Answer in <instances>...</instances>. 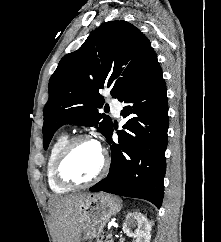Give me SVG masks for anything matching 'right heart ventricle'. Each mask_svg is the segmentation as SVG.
<instances>
[{
  "mask_svg": "<svg viewBox=\"0 0 221 242\" xmlns=\"http://www.w3.org/2000/svg\"><path fill=\"white\" fill-rule=\"evenodd\" d=\"M68 141V136L64 133L60 134L59 136L56 137V139L53 141L46 160V178H47V184L50 188V190L54 193H65L68 192L71 188L65 187L60 185L53 173V167L54 163L56 161V158L63 148V146L66 144Z\"/></svg>",
  "mask_w": 221,
  "mask_h": 242,
  "instance_id": "obj_1",
  "label": "right heart ventricle"
}]
</instances>
